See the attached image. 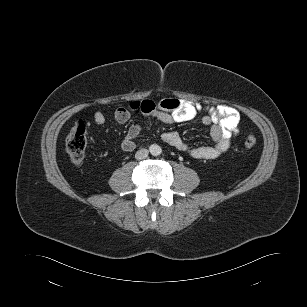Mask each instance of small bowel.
Segmentation results:
<instances>
[{
	"label": "small bowel",
	"instance_id": "c3829d8e",
	"mask_svg": "<svg viewBox=\"0 0 307 307\" xmlns=\"http://www.w3.org/2000/svg\"><path fill=\"white\" fill-rule=\"evenodd\" d=\"M130 110L140 111L145 118H156L165 123L186 122L200 115L202 123L210 129L212 145L190 146L175 131L165 132L161 136L166 144L196 159H215L227 152L232 138L238 133L240 122L238 111L231 106L218 105L202 109L198 104L175 98H166L158 103L147 99L135 101L129 108H117L114 112L115 120L121 124L127 122L130 118ZM93 120L99 126L106 121L104 114L100 111L94 114ZM140 132L139 123H134L128 128L121 143L124 151L131 152L136 148V139Z\"/></svg>",
	"mask_w": 307,
	"mask_h": 307
}]
</instances>
